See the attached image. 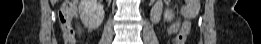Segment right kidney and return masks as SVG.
Here are the masks:
<instances>
[{"label": "right kidney", "mask_w": 261, "mask_h": 44, "mask_svg": "<svg viewBox=\"0 0 261 44\" xmlns=\"http://www.w3.org/2000/svg\"><path fill=\"white\" fill-rule=\"evenodd\" d=\"M78 8L81 21L88 30L97 29L103 22L105 12L97 0H81Z\"/></svg>", "instance_id": "1"}]
</instances>
